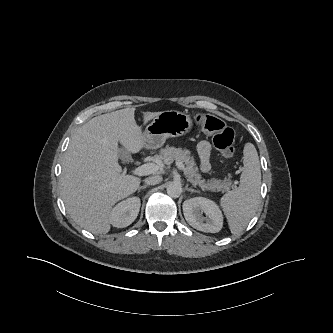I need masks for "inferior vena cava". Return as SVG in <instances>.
Masks as SVG:
<instances>
[{"instance_id": "1", "label": "inferior vena cava", "mask_w": 333, "mask_h": 333, "mask_svg": "<svg viewBox=\"0 0 333 333\" xmlns=\"http://www.w3.org/2000/svg\"><path fill=\"white\" fill-rule=\"evenodd\" d=\"M161 181H162V177L160 175L150 176L145 179V183L147 185H156V184H159Z\"/></svg>"}]
</instances>
